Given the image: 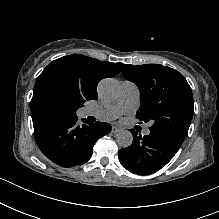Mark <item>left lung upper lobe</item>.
Listing matches in <instances>:
<instances>
[{
  "instance_id": "1",
  "label": "left lung upper lobe",
  "mask_w": 219,
  "mask_h": 219,
  "mask_svg": "<svg viewBox=\"0 0 219 219\" xmlns=\"http://www.w3.org/2000/svg\"><path fill=\"white\" fill-rule=\"evenodd\" d=\"M122 74L140 91L136 118L151 121V132L182 144L194 114L192 90L186 79L178 71L159 64H126Z\"/></svg>"
}]
</instances>
